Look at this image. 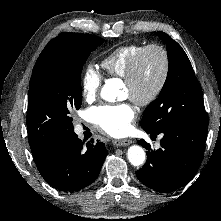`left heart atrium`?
Here are the masks:
<instances>
[{
    "mask_svg": "<svg viewBox=\"0 0 221 221\" xmlns=\"http://www.w3.org/2000/svg\"><path fill=\"white\" fill-rule=\"evenodd\" d=\"M90 114L102 131L112 136H122L129 131L136 109L130 103L100 105L92 108Z\"/></svg>",
    "mask_w": 221,
    "mask_h": 221,
    "instance_id": "left-heart-atrium-1",
    "label": "left heart atrium"
}]
</instances>
